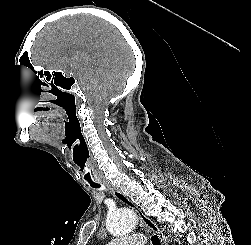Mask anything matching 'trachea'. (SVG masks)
<instances>
[{"label": "trachea", "instance_id": "1", "mask_svg": "<svg viewBox=\"0 0 251 245\" xmlns=\"http://www.w3.org/2000/svg\"><path fill=\"white\" fill-rule=\"evenodd\" d=\"M90 185H91V187H94V188H99L100 187L99 184H95V183H91ZM151 240H152L153 245H161L160 240H159L157 235L152 236Z\"/></svg>", "mask_w": 251, "mask_h": 245}]
</instances>
